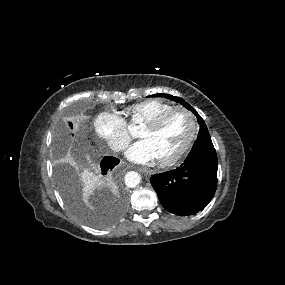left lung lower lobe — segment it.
<instances>
[{
    "instance_id": "0a47b994",
    "label": "left lung lower lobe",
    "mask_w": 285,
    "mask_h": 285,
    "mask_svg": "<svg viewBox=\"0 0 285 285\" xmlns=\"http://www.w3.org/2000/svg\"><path fill=\"white\" fill-rule=\"evenodd\" d=\"M151 184L171 213L192 215L204 209L217 188V155L211 137L196 140L179 168L153 175Z\"/></svg>"
}]
</instances>
